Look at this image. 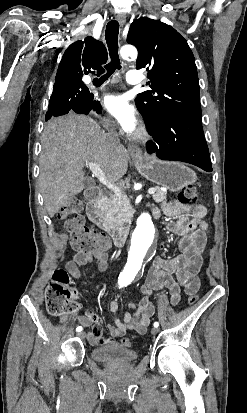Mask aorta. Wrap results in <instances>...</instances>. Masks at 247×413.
Instances as JSON below:
<instances>
[{"mask_svg": "<svg viewBox=\"0 0 247 413\" xmlns=\"http://www.w3.org/2000/svg\"><path fill=\"white\" fill-rule=\"evenodd\" d=\"M124 59H136L138 52L132 45H125L120 50ZM154 236V225L148 213H143L137 220V227L133 234V247L130 251L125 273L134 276L140 269L146 251Z\"/></svg>", "mask_w": 247, "mask_h": 413, "instance_id": "762f6f07", "label": "aorta"}]
</instances>
